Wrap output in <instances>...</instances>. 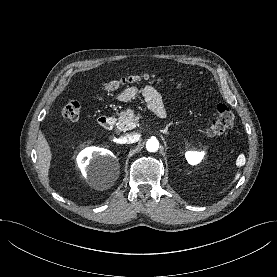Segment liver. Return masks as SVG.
I'll use <instances>...</instances> for the list:
<instances>
[{
  "instance_id": "1",
  "label": "liver",
  "mask_w": 277,
  "mask_h": 277,
  "mask_svg": "<svg viewBox=\"0 0 277 277\" xmlns=\"http://www.w3.org/2000/svg\"><path fill=\"white\" fill-rule=\"evenodd\" d=\"M37 155L39 169L45 180H47L51 165L52 153L50 146L42 132H39L37 139Z\"/></svg>"
}]
</instances>
